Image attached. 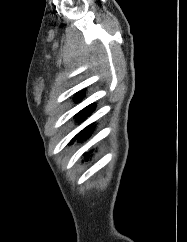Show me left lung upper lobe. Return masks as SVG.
<instances>
[{
    "label": "left lung upper lobe",
    "instance_id": "left-lung-upper-lobe-1",
    "mask_svg": "<svg viewBox=\"0 0 187 242\" xmlns=\"http://www.w3.org/2000/svg\"><path fill=\"white\" fill-rule=\"evenodd\" d=\"M81 96H79L78 98H80ZM95 109V104H90L87 107H85L84 109H82L79 113L76 114V118L78 119V121H83L85 118H87ZM92 125V124H91ZM91 125L87 126L84 130H82L81 132H79L72 140L71 142H74L77 138H79L80 136L83 135L84 131L88 130Z\"/></svg>",
    "mask_w": 187,
    "mask_h": 242
}]
</instances>
